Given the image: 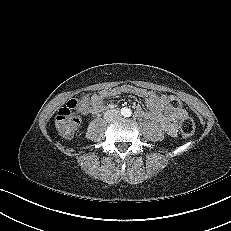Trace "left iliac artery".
<instances>
[{"label": "left iliac artery", "mask_w": 231, "mask_h": 231, "mask_svg": "<svg viewBox=\"0 0 231 231\" xmlns=\"http://www.w3.org/2000/svg\"><path fill=\"white\" fill-rule=\"evenodd\" d=\"M131 114H132V112H131L130 110H128L126 116H127V117H130Z\"/></svg>", "instance_id": "obj_1"}]
</instances>
